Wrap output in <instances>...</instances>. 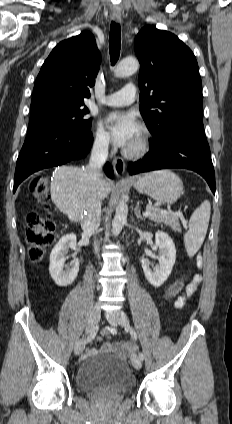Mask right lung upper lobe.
Segmentation results:
<instances>
[{
	"label": "right lung upper lobe",
	"mask_w": 232,
	"mask_h": 424,
	"mask_svg": "<svg viewBox=\"0 0 232 424\" xmlns=\"http://www.w3.org/2000/svg\"><path fill=\"white\" fill-rule=\"evenodd\" d=\"M99 67L100 53L90 32L60 42L37 76L31 108L49 103L83 105Z\"/></svg>",
	"instance_id": "obj_1"
}]
</instances>
